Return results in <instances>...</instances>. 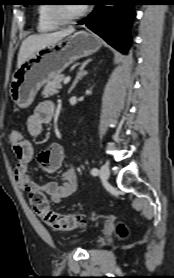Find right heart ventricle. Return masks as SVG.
Segmentation results:
<instances>
[{"mask_svg": "<svg viewBox=\"0 0 174 278\" xmlns=\"http://www.w3.org/2000/svg\"><path fill=\"white\" fill-rule=\"evenodd\" d=\"M50 6L49 4H41L37 8V29L40 32H50L60 26L51 18Z\"/></svg>", "mask_w": 174, "mask_h": 278, "instance_id": "obj_1", "label": "right heart ventricle"}]
</instances>
